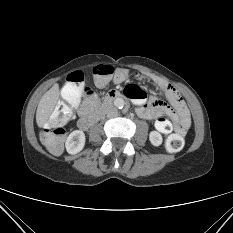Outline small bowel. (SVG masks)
Here are the masks:
<instances>
[{
	"label": "small bowel",
	"mask_w": 233,
	"mask_h": 233,
	"mask_svg": "<svg viewBox=\"0 0 233 233\" xmlns=\"http://www.w3.org/2000/svg\"><path fill=\"white\" fill-rule=\"evenodd\" d=\"M132 76L130 70L118 68L115 72L113 82L115 84L124 83ZM135 77L141 80H150L158 89L160 96H153L147 100L146 93L137 85L126 87L127 96L137 106L136 112L139 117L146 120H153L156 130L163 134H169L172 131L184 135L188 130L191 120L186 105L177 91L171 84L162 79L152 76L136 73ZM96 106V100L85 98L79 108L81 118L90 115Z\"/></svg>",
	"instance_id": "obj_1"
}]
</instances>
